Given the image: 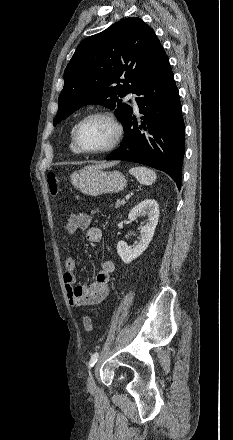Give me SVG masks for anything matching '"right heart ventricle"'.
<instances>
[{
  "instance_id": "1",
  "label": "right heart ventricle",
  "mask_w": 233,
  "mask_h": 440,
  "mask_svg": "<svg viewBox=\"0 0 233 440\" xmlns=\"http://www.w3.org/2000/svg\"><path fill=\"white\" fill-rule=\"evenodd\" d=\"M72 131H73V129H72ZM72 131H71V134H72ZM70 149H71V151H72L73 153H78V152L76 151V149H75L73 143H72V140H71V143H70Z\"/></svg>"
}]
</instances>
